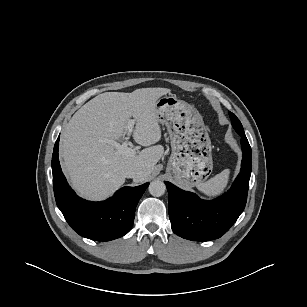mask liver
Returning <instances> with one entry per match:
<instances>
[{
    "label": "liver",
    "instance_id": "6515ba94",
    "mask_svg": "<svg viewBox=\"0 0 307 307\" xmlns=\"http://www.w3.org/2000/svg\"><path fill=\"white\" fill-rule=\"evenodd\" d=\"M167 88H142L132 93L105 92L83 105L65 125L60 158L71 185L82 197L102 200L125 182L123 171L136 169L135 182L145 181L164 153L156 102ZM133 117V139L147 147L135 156L118 154L106 140H118Z\"/></svg>",
    "mask_w": 307,
    "mask_h": 307
}]
</instances>
